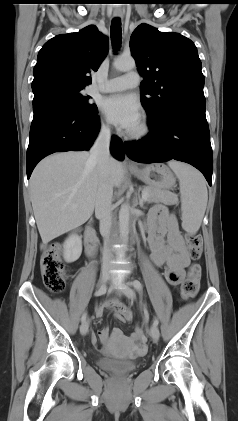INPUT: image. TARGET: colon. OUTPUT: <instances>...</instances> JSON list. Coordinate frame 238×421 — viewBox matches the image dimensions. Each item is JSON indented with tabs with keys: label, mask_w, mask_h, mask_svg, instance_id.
<instances>
[{
	"label": "colon",
	"mask_w": 238,
	"mask_h": 421,
	"mask_svg": "<svg viewBox=\"0 0 238 421\" xmlns=\"http://www.w3.org/2000/svg\"><path fill=\"white\" fill-rule=\"evenodd\" d=\"M188 252L192 260H199L202 254V239L200 236L188 238ZM40 269L45 286L54 293L63 291L67 281V270L60 256V247L52 246L47 249L40 261ZM201 276V268L194 264L189 271L188 277L181 286V299L187 301L198 291Z\"/></svg>",
	"instance_id": "5ec220e1"
}]
</instances>
